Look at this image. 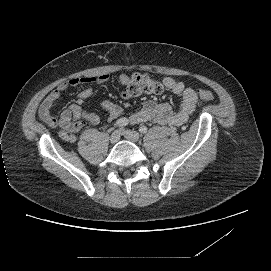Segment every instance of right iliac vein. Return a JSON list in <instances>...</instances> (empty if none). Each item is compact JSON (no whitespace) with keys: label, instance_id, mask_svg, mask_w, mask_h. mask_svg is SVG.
I'll return each instance as SVG.
<instances>
[{"label":"right iliac vein","instance_id":"63e3f726","mask_svg":"<svg viewBox=\"0 0 271 271\" xmlns=\"http://www.w3.org/2000/svg\"><path fill=\"white\" fill-rule=\"evenodd\" d=\"M120 139V132L118 130L114 131L110 137V142L112 144H115L119 141Z\"/></svg>","mask_w":271,"mask_h":271}]
</instances>
